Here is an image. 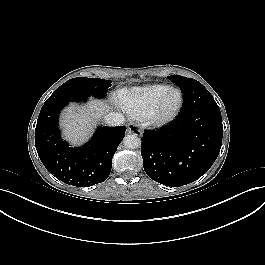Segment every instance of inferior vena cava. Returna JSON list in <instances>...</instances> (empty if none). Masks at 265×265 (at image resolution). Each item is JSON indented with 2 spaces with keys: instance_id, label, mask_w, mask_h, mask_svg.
I'll use <instances>...</instances> for the list:
<instances>
[{
  "instance_id": "inferior-vena-cava-1",
  "label": "inferior vena cava",
  "mask_w": 265,
  "mask_h": 265,
  "mask_svg": "<svg viewBox=\"0 0 265 265\" xmlns=\"http://www.w3.org/2000/svg\"><path fill=\"white\" fill-rule=\"evenodd\" d=\"M104 121L108 126H120L124 123L125 118L120 113L111 112L104 117Z\"/></svg>"
}]
</instances>
